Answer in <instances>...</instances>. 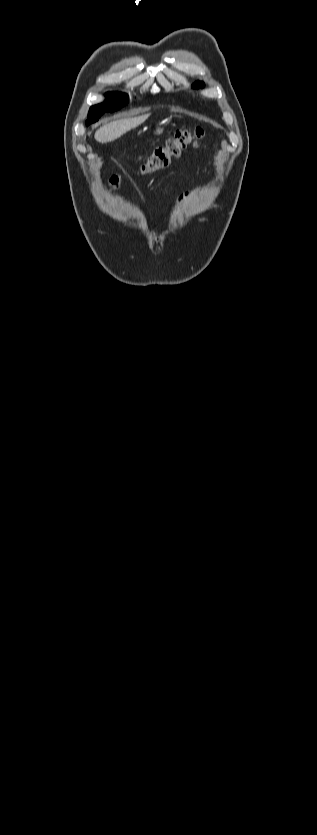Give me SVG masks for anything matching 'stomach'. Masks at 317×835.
Returning <instances> with one entry per match:
<instances>
[{
  "mask_svg": "<svg viewBox=\"0 0 317 835\" xmlns=\"http://www.w3.org/2000/svg\"><path fill=\"white\" fill-rule=\"evenodd\" d=\"M163 132H164V127H163V126H161V125H159V126L157 125V126L154 128V130H153V133H154L155 135H157V136L162 135V134H163Z\"/></svg>",
  "mask_w": 317,
  "mask_h": 835,
  "instance_id": "stomach-1",
  "label": "stomach"
}]
</instances>
